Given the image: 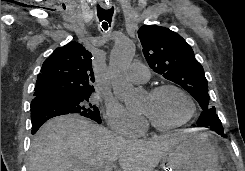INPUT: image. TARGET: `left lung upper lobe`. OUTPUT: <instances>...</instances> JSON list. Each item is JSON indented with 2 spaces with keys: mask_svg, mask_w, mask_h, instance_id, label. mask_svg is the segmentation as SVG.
Masks as SVG:
<instances>
[{
  "mask_svg": "<svg viewBox=\"0 0 245 171\" xmlns=\"http://www.w3.org/2000/svg\"><path fill=\"white\" fill-rule=\"evenodd\" d=\"M143 54L153 71L188 91L204 111L216 112L209 104L204 69L191 46L178 34L157 25L138 30Z\"/></svg>",
  "mask_w": 245,
  "mask_h": 171,
  "instance_id": "obj_1",
  "label": "left lung upper lobe"
}]
</instances>
